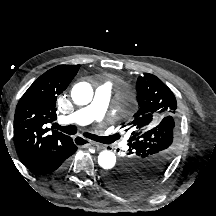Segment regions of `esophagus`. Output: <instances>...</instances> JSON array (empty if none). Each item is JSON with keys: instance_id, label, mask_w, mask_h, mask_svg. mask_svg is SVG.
<instances>
[{"instance_id": "esophagus-1", "label": "esophagus", "mask_w": 216, "mask_h": 216, "mask_svg": "<svg viewBox=\"0 0 216 216\" xmlns=\"http://www.w3.org/2000/svg\"><path fill=\"white\" fill-rule=\"evenodd\" d=\"M73 140H74V143H76V144L80 143V144H84V145H93V146H96L97 149H103V147L100 144H98V143H96L94 141L85 139V138H83L81 136H75L73 138Z\"/></svg>"}]
</instances>
